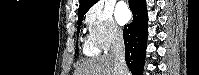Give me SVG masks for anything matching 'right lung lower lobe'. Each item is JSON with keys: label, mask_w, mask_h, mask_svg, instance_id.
<instances>
[{"label": "right lung lower lobe", "mask_w": 199, "mask_h": 75, "mask_svg": "<svg viewBox=\"0 0 199 75\" xmlns=\"http://www.w3.org/2000/svg\"><path fill=\"white\" fill-rule=\"evenodd\" d=\"M133 21L123 30L125 60L132 75H142L147 43V10L144 0H129Z\"/></svg>", "instance_id": "right-lung-lower-lobe-1"}]
</instances>
